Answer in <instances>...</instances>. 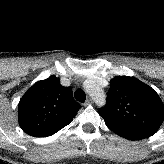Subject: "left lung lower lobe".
Returning a JSON list of instances; mask_svg holds the SVG:
<instances>
[{
	"instance_id": "obj_1",
	"label": "left lung lower lobe",
	"mask_w": 164,
	"mask_h": 164,
	"mask_svg": "<svg viewBox=\"0 0 164 164\" xmlns=\"http://www.w3.org/2000/svg\"><path fill=\"white\" fill-rule=\"evenodd\" d=\"M104 121H105L106 126L109 129H111L114 133H116L117 135H119V136H121L125 139H128V140H141V139H145V138L150 137V135H148V134H144V133L137 132V131H134V130L114 126L105 119H104Z\"/></svg>"
}]
</instances>
